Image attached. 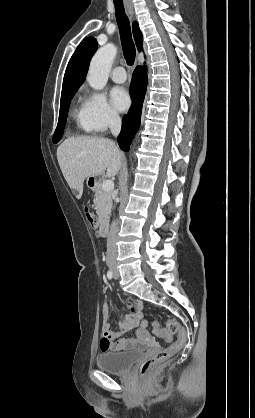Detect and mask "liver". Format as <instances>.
Instances as JSON below:
<instances>
[{"label":"liver","instance_id":"liver-1","mask_svg":"<svg viewBox=\"0 0 255 418\" xmlns=\"http://www.w3.org/2000/svg\"><path fill=\"white\" fill-rule=\"evenodd\" d=\"M57 159L66 182L80 199L85 178L101 175L105 170L108 177H114L120 170L122 155L110 139L71 137L57 148Z\"/></svg>","mask_w":255,"mask_h":418}]
</instances>
